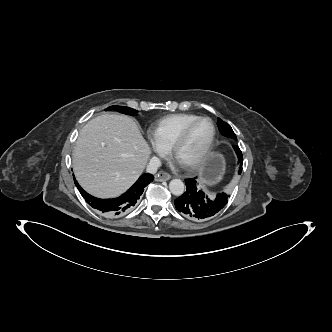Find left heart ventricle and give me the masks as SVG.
Segmentation results:
<instances>
[{"label": "left heart ventricle", "mask_w": 332, "mask_h": 332, "mask_svg": "<svg viewBox=\"0 0 332 332\" xmlns=\"http://www.w3.org/2000/svg\"><path fill=\"white\" fill-rule=\"evenodd\" d=\"M211 125L207 121L197 123L180 147L176 160L185 165L192 162L206 147L211 137Z\"/></svg>", "instance_id": "1"}]
</instances>
